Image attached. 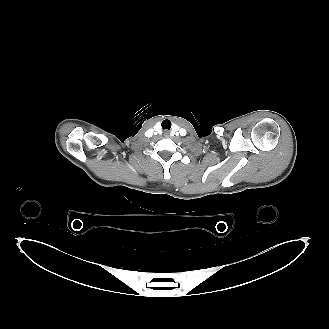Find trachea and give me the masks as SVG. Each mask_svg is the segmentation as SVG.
Returning a JSON list of instances; mask_svg holds the SVG:
<instances>
[{
    "instance_id": "1",
    "label": "trachea",
    "mask_w": 329,
    "mask_h": 329,
    "mask_svg": "<svg viewBox=\"0 0 329 329\" xmlns=\"http://www.w3.org/2000/svg\"><path fill=\"white\" fill-rule=\"evenodd\" d=\"M161 126L164 130H170L171 122L169 120H163Z\"/></svg>"
}]
</instances>
